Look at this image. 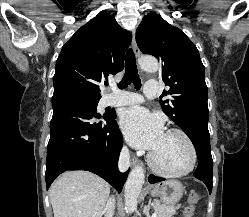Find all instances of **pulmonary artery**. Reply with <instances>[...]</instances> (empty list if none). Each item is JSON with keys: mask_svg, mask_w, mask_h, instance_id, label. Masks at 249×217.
I'll return each mask as SVG.
<instances>
[{"mask_svg": "<svg viewBox=\"0 0 249 217\" xmlns=\"http://www.w3.org/2000/svg\"><path fill=\"white\" fill-rule=\"evenodd\" d=\"M159 94V86L155 81H147L144 85V95L146 98L153 99ZM143 100L138 93L121 91L113 95L108 100L110 106H125L140 103Z\"/></svg>", "mask_w": 249, "mask_h": 217, "instance_id": "e3ab8cb5", "label": "pulmonary artery"}]
</instances>
